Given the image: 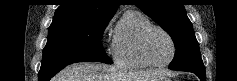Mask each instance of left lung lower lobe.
Wrapping results in <instances>:
<instances>
[{"label": "left lung lower lobe", "instance_id": "1", "mask_svg": "<svg viewBox=\"0 0 237 81\" xmlns=\"http://www.w3.org/2000/svg\"><path fill=\"white\" fill-rule=\"evenodd\" d=\"M194 74H196L201 81H205L206 80V75H205V72H192Z\"/></svg>", "mask_w": 237, "mask_h": 81}]
</instances>
